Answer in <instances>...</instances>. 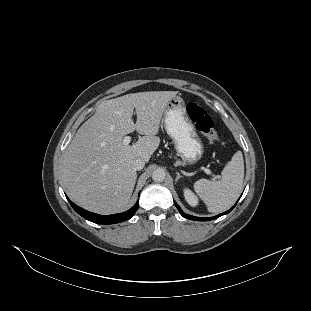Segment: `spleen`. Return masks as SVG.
<instances>
[{
	"label": "spleen",
	"instance_id": "spleen-1",
	"mask_svg": "<svg viewBox=\"0 0 311 311\" xmlns=\"http://www.w3.org/2000/svg\"><path fill=\"white\" fill-rule=\"evenodd\" d=\"M243 176L242 152L237 151L223 167L220 180L201 179L193 184V189L209 212H221L228 209L240 195Z\"/></svg>",
	"mask_w": 311,
	"mask_h": 311
}]
</instances>
